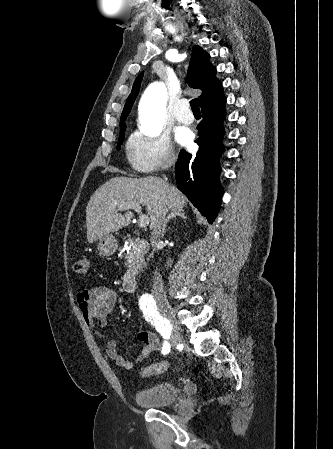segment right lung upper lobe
Masks as SVG:
<instances>
[{"mask_svg":"<svg viewBox=\"0 0 333 449\" xmlns=\"http://www.w3.org/2000/svg\"><path fill=\"white\" fill-rule=\"evenodd\" d=\"M209 57V54L206 53L201 47L194 46L187 75V82L191 87L202 90L200 103L222 86L221 82L215 77L216 69L209 62ZM142 77L143 73L136 78L121 118H126L128 116L138 94Z\"/></svg>","mask_w":333,"mask_h":449,"instance_id":"1","label":"right lung upper lobe"}]
</instances>
